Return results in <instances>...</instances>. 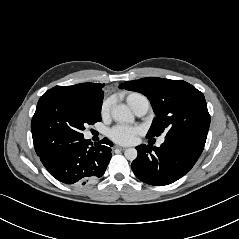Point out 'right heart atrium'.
<instances>
[{
  "label": "right heart atrium",
  "instance_id": "obj_1",
  "mask_svg": "<svg viewBox=\"0 0 239 239\" xmlns=\"http://www.w3.org/2000/svg\"><path fill=\"white\" fill-rule=\"evenodd\" d=\"M110 107H111V101L110 100H105L101 106V116L102 117H107L110 112Z\"/></svg>",
  "mask_w": 239,
  "mask_h": 239
}]
</instances>
